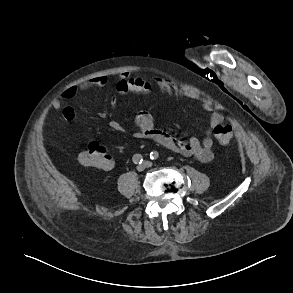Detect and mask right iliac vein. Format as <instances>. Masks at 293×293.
I'll use <instances>...</instances> for the list:
<instances>
[{"instance_id": "right-iliac-vein-1", "label": "right iliac vein", "mask_w": 293, "mask_h": 293, "mask_svg": "<svg viewBox=\"0 0 293 293\" xmlns=\"http://www.w3.org/2000/svg\"><path fill=\"white\" fill-rule=\"evenodd\" d=\"M138 171H143L145 169V165L141 164L137 167Z\"/></svg>"}]
</instances>
